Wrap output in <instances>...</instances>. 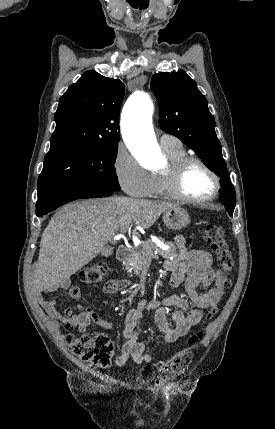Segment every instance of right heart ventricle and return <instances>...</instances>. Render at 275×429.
<instances>
[{"mask_svg": "<svg viewBox=\"0 0 275 429\" xmlns=\"http://www.w3.org/2000/svg\"><path fill=\"white\" fill-rule=\"evenodd\" d=\"M163 150L170 161L186 156V152L182 146L177 148H166ZM153 178H154L153 188L149 195L162 196V197L168 196L165 190L164 181L161 174L160 173L155 174L153 175Z\"/></svg>", "mask_w": 275, "mask_h": 429, "instance_id": "obj_1", "label": "right heart ventricle"}]
</instances>
